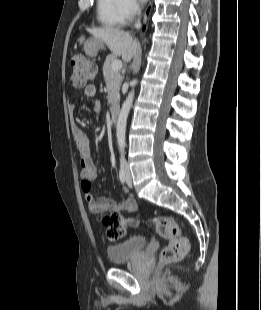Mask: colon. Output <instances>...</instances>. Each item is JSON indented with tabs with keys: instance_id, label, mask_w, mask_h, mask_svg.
Here are the masks:
<instances>
[{
	"instance_id": "colon-1",
	"label": "colon",
	"mask_w": 261,
	"mask_h": 310,
	"mask_svg": "<svg viewBox=\"0 0 261 310\" xmlns=\"http://www.w3.org/2000/svg\"><path fill=\"white\" fill-rule=\"evenodd\" d=\"M71 82L73 86H86L97 73L96 65L81 54L74 55L70 60ZM139 219V216L135 217ZM107 227L110 240H118L125 234V226L136 227V220H126L120 214H109L102 218ZM157 233L168 241L160 254V263L168 264L182 259L189 249V242L181 233L178 223L169 216H156L151 220Z\"/></svg>"
}]
</instances>
